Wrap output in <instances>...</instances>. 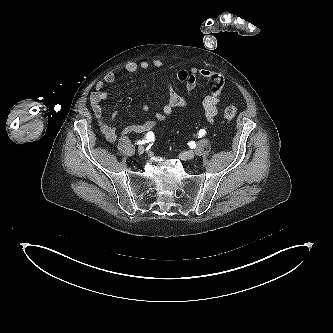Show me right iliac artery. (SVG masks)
Instances as JSON below:
<instances>
[{"label":"right iliac artery","mask_w":333,"mask_h":333,"mask_svg":"<svg viewBox=\"0 0 333 333\" xmlns=\"http://www.w3.org/2000/svg\"><path fill=\"white\" fill-rule=\"evenodd\" d=\"M147 137L145 138V140H142V141H138L137 144L141 145V144H145V143H148L150 141H153L154 139V133L153 132H148Z\"/></svg>","instance_id":"1"}]
</instances>
